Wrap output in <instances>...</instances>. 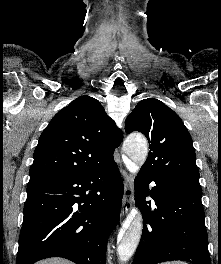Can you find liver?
Instances as JSON below:
<instances>
[{"instance_id": "obj_1", "label": "liver", "mask_w": 221, "mask_h": 264, "mask_svg": "<svg viewBox=\"0 0 221 264\" xmlns=\"http://www.w3.org/2000/svg\"><path fill=\"white\" fill-rule=\"evenodd\" d=\"M36 264H74V263L62 258H49L39 261Z\"/></svg>"}]
</instances>
